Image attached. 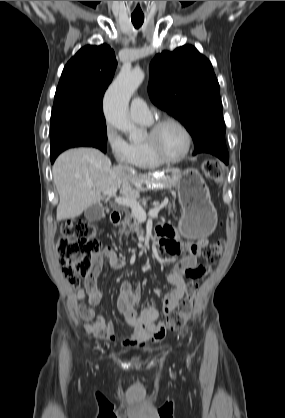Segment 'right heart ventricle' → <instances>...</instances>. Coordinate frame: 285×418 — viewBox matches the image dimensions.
Listing matches in <instances>:
<instances>
[{"label": "right heart ventricle", "mask_w": 285, "mask_h": 418, "mask_svg": "<svg viewBox=\"0 0 285 418\" xmlns=\"http://www.w3.org/2000/svg\"><path fill=\"white\" fill-rule=\"evenodd\" d=\"M141 124H148L139 122ZM131 149L133 164L143 168H156L162 165L150 154L144 141H131L128 143Z\"/></svg>", "instance_id": "obj_1"}]
</instances>
